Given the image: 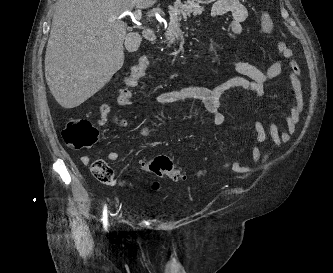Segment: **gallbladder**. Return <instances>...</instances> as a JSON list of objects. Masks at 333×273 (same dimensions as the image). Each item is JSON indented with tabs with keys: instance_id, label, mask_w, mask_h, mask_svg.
<instances>
[{
	"instance_id": "gallbladder-1",
	"label": "gallbladder",
	"mask_w": 333,
	"mask_h": 273,
	"mask_svg": "<svg viewBox=\"0 0 333 273\" xmlns=\"http://www.w3.org/2000/svg\"><path fill=\"white\" fill-rule=\"evenodd\" d=\"M140 37L139 35H135V34H130L127 37L126 40V48L129 52H134L138 49L139 45H140Z\"/></svg>"
}]
</instances>
